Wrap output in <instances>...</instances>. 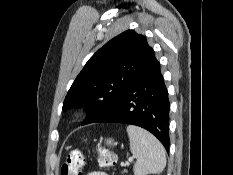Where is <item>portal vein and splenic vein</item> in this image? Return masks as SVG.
Masks as SVG:
<instances>
[{"label": "portal vein and splenic vein", "mask_w": 233, "mask_h": 175, "mask_svg": "<svg viewBox=\"0 0 233 175\" xmlns=\"http://www.w3.org/2000/svg\"><path fill=\"white\" fill-rule=\"evenodd\" d=\"M133 157H130L129 159H128V162H126V164H129V162H132L133 161Z\"/></svg>", "instance_id": "portal-vein-and-splenic-vein-1"}]
</instances>
